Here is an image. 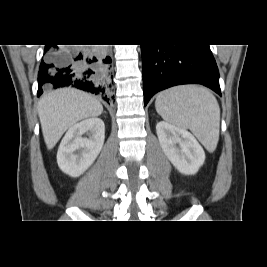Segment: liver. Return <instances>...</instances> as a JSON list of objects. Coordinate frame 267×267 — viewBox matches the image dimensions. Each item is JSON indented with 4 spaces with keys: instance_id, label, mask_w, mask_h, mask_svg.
I'll return each mask as SVG.
<instances>
[{
    "instance_id": "liver-1",
    "label": "liver",
    "mask_w": 267,
    "mask_h": 267,
    "mask_svg": "<svg viewBox=\"0 0 267 267\" xmlns=\"http://www.w3.org/2000/svg\"><path fill=\"white\" fill-rule=\"evenodd\" d=\"M103 106L91 95L72 88L52 91L39 102L38 115L45 144L54 148L78 121L101 115Z\"/></svg>"
}]
</instances>
